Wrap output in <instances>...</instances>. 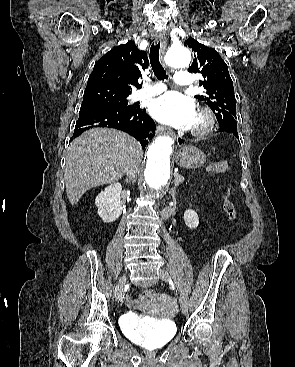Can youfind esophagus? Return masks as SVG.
Listing matches in <instances>:
<instances>
[{"label":"esophagus","mask_w":295,"mask_h":367,"mask_svg":"<svg viewBox=\"0 0 295 367\" xmlns=\"http://www.w3.org/2000/svg\"><path fill=\"white\" fill-rule=\"evenodd\" d=\"M156 42H160V58L163 60L164 56H165V49H166V35L165 32L160 33L157 38H156ZM159 132L160 133H170V131L167 130V128L165 127H159Z\"/></svg>","instance_id":"esophagus-1"}]
</instances>
